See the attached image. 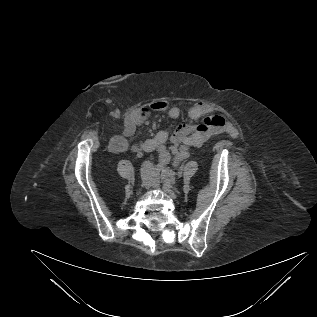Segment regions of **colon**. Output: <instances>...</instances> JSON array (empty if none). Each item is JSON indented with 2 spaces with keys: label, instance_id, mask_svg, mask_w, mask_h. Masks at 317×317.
Wrapping results in <instances>:
<instances>
[{
  "label": "colon",
  "instance_id": "1",
  "mask_svg": "<svg viewBox=\"0 0 317 317\" xmlns=\"http://www.w3.org/2000/svg\"><path fill=\"white\" fill-rule=\"evenodd\" d=\"M152 109L150 108H143L141 109L140 113H139V117H145V116H148L150 114Z\"/></svg>",
  "mask_w": 317,
  "mask_h": 317
}]
</instances>
